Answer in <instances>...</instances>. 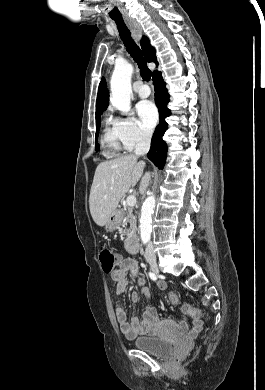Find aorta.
I'll list each match as a JSON object with an SVG mask.
<instances>
[{"label":"aorta","instance_id":"762f6f07","mask_svg":"<svg viewBox=\"0 0 265 390\" xmlns=\"http://www.w3.org/2000/svg\"><path fill=\"white\" fill-rule=\"evenodd\" d=\"M133 66L129 63H117L115 65L111 81V103L123 113L131 109V77ZM155 207V196L149 195L143 203L140 217V236L143 244H147L152 232V214Z\"/></svg>","mask_w":265,"mask_h":390}]
</instances>
